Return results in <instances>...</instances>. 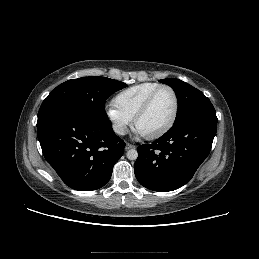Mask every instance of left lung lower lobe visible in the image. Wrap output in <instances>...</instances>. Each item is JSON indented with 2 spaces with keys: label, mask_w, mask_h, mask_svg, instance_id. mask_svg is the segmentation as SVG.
Wrapping results in <instances>:
<instances>
[{
  "label": "left lung lower lobe",
  "mask_w": 259,
  "mask_h": 259,
  "mask_svg": "<svg viewBox=\"0 0 259 259\" xmlns=\"http://www.w3.org/2000/svg\"><path fill=\"white\" fill-rule=\"evenodd\" d=\"M217 122L203 117L185 119L152 144L140 145L134 165L138 182L158 192L185 185L209 155Z\"/></svg>",
  "instance_id": "left-lung-lower-lobe-1"
}]
</instances>
